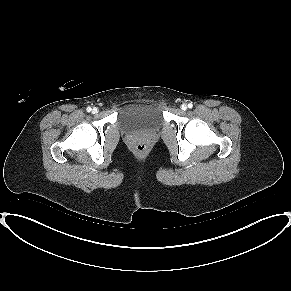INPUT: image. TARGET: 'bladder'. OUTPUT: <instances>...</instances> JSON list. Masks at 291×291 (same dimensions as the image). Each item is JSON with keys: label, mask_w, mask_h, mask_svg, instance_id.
Segmentation results:
<instances>
[{"label": "bladder", "mask_w": 291, "mask_h": 291, "mask_svg": "<svg viewBox=\"0 0 291 291\" xmlns=\"http://www.w3.org/2000/svg\"><path fill=\"white\" fill-rule=\"evenodd\" d=\"M163 122L162 109L154 103L129 104L119 115V123L126 131L156 130Z\"/></svg>", "instance_id": "bladder-1"}]
</instances>
